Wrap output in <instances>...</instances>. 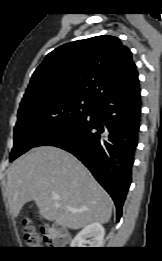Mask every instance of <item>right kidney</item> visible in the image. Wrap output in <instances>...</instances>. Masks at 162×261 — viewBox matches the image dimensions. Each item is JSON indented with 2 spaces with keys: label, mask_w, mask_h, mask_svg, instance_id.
Masks as SVG:
<instances>
[{
  "label": "right kidney",
  "mask_w": 162,
  "mask_h": 261,
  "mask_svg": "<svg viewBox=\"0 0 162 261\" xmlns=\"http://www.w3.org/2000/svg\"><path fill=\"white\" fill-rule=\"evenodd\" d=\"M104 235V227L100 223L94 222L82 229L72 240L70 246L72 248L85 247V244L89 242L90 248H100L103 244ZM87 238H90V240L87 241Z\"/></svg>",
  "instance_id": "obj_1"
}]
</instances>
